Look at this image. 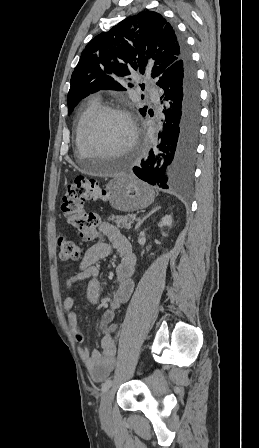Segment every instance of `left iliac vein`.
<instances>
[{
    "label": "left iliac vein",
    "instance_id": "obj_1",
    "mask_svg": "<svg viewBox=\"0 0 259 448\" xmlns=\"http://www.w3.org/2000/svg\"><path fill=\"white\" fill-rule=\"evenodd\" d=\"M111 399L112 393L110 390L104 392L101 398L99 414L103 423H108L111 419Z\"/></svg>",
    "mask_w": 259,
    "mask_h": 448
}]
</instances>
